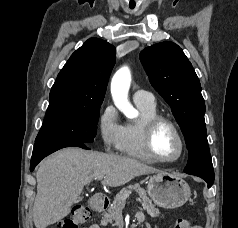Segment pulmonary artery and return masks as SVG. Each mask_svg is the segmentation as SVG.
Here are the masks:
<instances>
[{
  "mask_svg": "<svg viewBox=\"0 0 238 228\" xmlns=\"http://www.w3.org/2000/svg\"><path fill=\"white\" fill-rule=\"evenodd\" d=\"M133 101L137 104L154 105L155 99L153 95L145 90L138 89L133 94Z\"/></svg>",
  "mask_w": 238,
  "mask_h": 228,
  "instance_id": "pulmonary-artery-1",
  "label": "pulmonary artery"
}]
</instances>
